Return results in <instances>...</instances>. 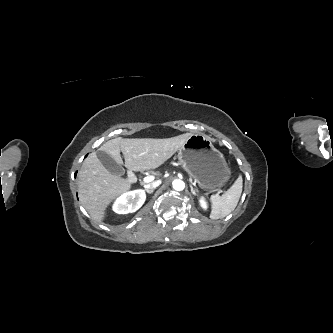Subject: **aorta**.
Returning a JSON list of instances; mask_svg holds the SVG:
<instances>
[{
    "label": "aorta",
    "instance_id": "obj_1",
    "mask_svg": "<svg viewBox=\"0 0 333 333\" xmlns=\"http://www.w3.org/2000/svg\"><path fill=\"white\" fill-rule=\"evenodd\" d=\"M172 186L175 190L181 191L185 188V183L182 180H174Z\"/></svg>",
    "mask_w": 333,
    "mask_h": 333
}]
</instances>
